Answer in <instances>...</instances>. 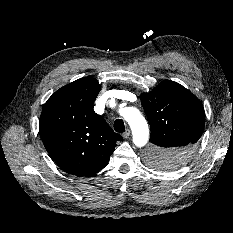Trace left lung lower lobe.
<instances>
[{"label": "left lung lower lobe", "instance_id": "left-lung-lower-lobe-1", "mask_svg": "<svg viewBox=\"0 0 233 233\" xmlns=\"http://www.w3.org/2000/svg\"><path fill=\"white\" fill-rule=\"evenodd\" d=\"M161 145H164L167 149L169 150H175L177 149L178 145L182 144V142H179L180 140L178 139H171V140H168V139H162V140H159Z\"/></svg>", "mask_w": 233, "mask_h": 233}]
</instances>
